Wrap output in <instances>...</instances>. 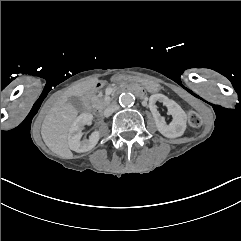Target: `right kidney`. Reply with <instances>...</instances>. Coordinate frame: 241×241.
Instances as JSON below:
<instances>
[{
	"instance_id": "ca27d5eb",
	"label": "right kidney",
	"mask_w": 241,
	"mask_h": 241,
	"mask_svg": "<svg viewBox=\"0 0 241 241\" xmlns=\"http://www.w3.org/2000/svg\"><path fill=\"white\" fill-rule=\"evenodd\" d=\"M92 120L93 115L91 113H82L73 121L68 134V145L71 150L82 153L96 146L99 141L98 131H94L88 140H81L84 126L91 125Z\"/></svg>"
}]
</instances>
